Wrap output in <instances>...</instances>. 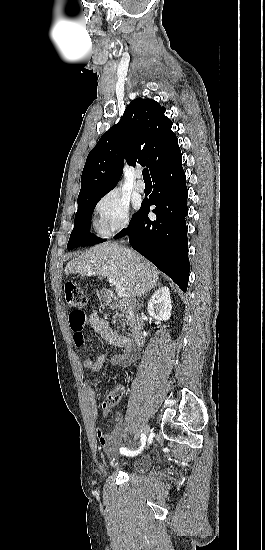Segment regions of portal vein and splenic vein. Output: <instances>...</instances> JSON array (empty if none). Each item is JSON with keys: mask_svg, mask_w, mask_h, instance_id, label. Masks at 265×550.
I'll return each mask as SVG.
<instances>
[{"mask_svg": "<svg viewBox=\"0 0 265 550\" xmlns=\"http://www.w3.org/2000/svg\"><path fill=\"white\" fill-rule=\"evenodd\" d=\"M96 273L95 272H89V275H95ZM107 280L109 281V283H111L112 285H114L116 287V293L119 297H123L125 296V289L121 286V283L116 281L115 279L111 278V277H107Z\"/></svg>", "mask_w": 265, "mask_h": 550, "instance_id": "obj_1", "label": "portal vein and splenic vein"}]
</instances>
